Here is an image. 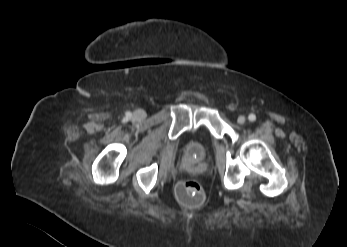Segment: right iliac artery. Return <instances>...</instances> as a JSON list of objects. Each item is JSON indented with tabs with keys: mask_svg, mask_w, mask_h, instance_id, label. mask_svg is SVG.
<instances>
[{
	"mask_svg": "<svg viewBox=\"0 0 347 247\" xmlns=\"http://www.w3.org/2000/svg\"><path fill=\"white\" fill-rule=\"evenodd\" d=\"M131 113L130 112H128L127 114H126V116H127V118H129V117H131Z\"/></svg>",
	"mask_w": 347,
	"mask_h": 247,
	"instance_id": "right-iliac-artery-1",
	"label": "right iliac artery"
}]
</instances>
